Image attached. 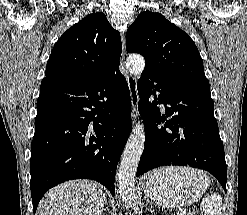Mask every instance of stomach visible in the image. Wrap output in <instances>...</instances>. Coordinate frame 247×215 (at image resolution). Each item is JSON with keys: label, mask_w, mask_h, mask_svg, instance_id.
<instances>
[{"label": "stomach", "mask_w": 247, "mask_h": 215, "mask_svg": "<svg viewBox=\"0 0 247 215\" xmlns=\"http://www.w3.org/2000/svg\"><path fill=\"white\" fill-rule=\"evenodd\" d=\"M206 179L200 171L167 167L149 174L145 192L157 204L169 208H181L195 203L206 187Z\"/></svg>", "instance_id": "obj_1"}]
</instances>
